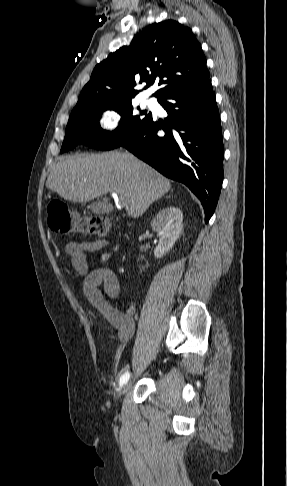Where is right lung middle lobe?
<instances>
[{"label": "right lung middle lobe", "mask_w": 287, "mask_h": 486, "mask_svg": "<svg viewBox=\"0 0 287 486\" xmlns=\"http://www.w3.org/2000/svg\"><path fill=\"white\" fill-rule=\"evenodd\" d=\"M105 110H115L121 116L119 126L112 132L103 130L99 119ZM133 114L132 99L99 103L71 112L66 127L61 153L84 144L99 150H111L124 143L152 116L151 113Z\"/></svg>", "instance_id": "right-lung-middle-lobe-1"}]
</instances>
